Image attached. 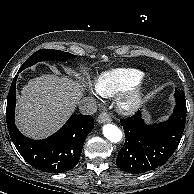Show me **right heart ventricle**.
Listing matches in <instances>:
<instances>
[{"instance_id": "1", "label": "right heart ventricle", "mask_w": 194, "mask_h": 194, "mask_svg": "<svg viewBox=\"0 0 194 194\" xmlns=\"http://www.w3.org/2000/svg\"><path fill=\"white\" fill-rule=\"evenodd\" d=\"M144 73L134 68H116L104 71L95 80L96 92L102 97H112L142 81Z\"/></svg>"}]
</instances>
